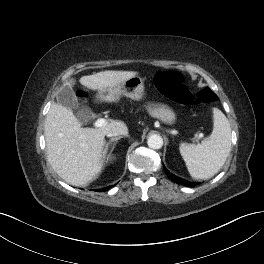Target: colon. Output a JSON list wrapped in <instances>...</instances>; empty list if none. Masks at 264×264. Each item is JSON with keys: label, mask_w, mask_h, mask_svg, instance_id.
Here are the masks:
<instances>
[{"label": "colon", "mask_w": 264, "mask_h": 264, "mask_svg": "<svg viewBox=\"0 0 264 264\" xmlns=\"http://www.w3.org/2000/svg\"><path fill=\"white\" fill-rule=\"evenodd\" d=\"M154 82L163 95L183 105L211 103L216 99L215 93L207 87L192 93L183 84L182 74L176 71L160 72L155 76ZM79 96L84 98V92H80Z\"/></svg>", "instance_id": "1"}]
</instances>
